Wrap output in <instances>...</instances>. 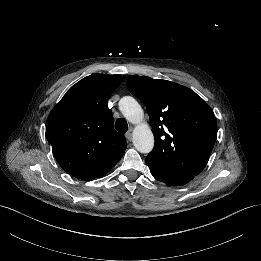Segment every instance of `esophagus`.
I'll return each instance as SVG.
<instances>
[{
	"instance_id": "1",
	"label": "esophagus",
	"mask_w": 261,
	"mask_h": 261,
	"mask_svg": "<svg viewBox=\"0 0 261 261\" xmlns=\"http://www.w3.org/2000/svg\"><path fill=\"white\" fill-rule=\"evenodd\" d=\"M125 137L128 139V141H131L132 140V133L130 131H128L126 134H125Z\"/></svg>"
}]
</instances>
